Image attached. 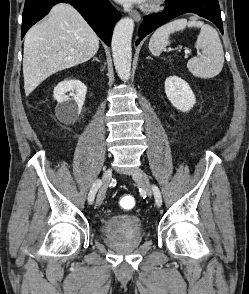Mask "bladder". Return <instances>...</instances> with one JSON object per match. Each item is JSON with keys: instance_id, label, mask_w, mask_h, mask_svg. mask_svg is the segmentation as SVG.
<instances>
[{"instance_id": "31cf9c89", "label": "bladder", "mask_w": 249, "mask_h": 294, "mask_svg": "<svg viewBox=\"0 0 249 294\" xmlns=\"http://www.w3.org/2000/svg\"><path fill=\"white\" fill-rule=\"evenodd\" d=\"M102 233L105 238L124 234H136L137 238H142L144 236L143 220L133 215H116L106 221Z\"/></svg>"}]
</instances>
